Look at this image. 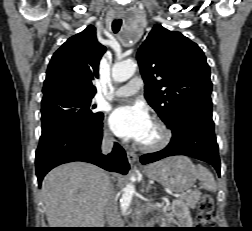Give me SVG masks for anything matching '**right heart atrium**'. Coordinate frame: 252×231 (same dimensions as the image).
<instances>
[{
  "label": "right heart atrium",
  "mask_w": 252,
  "mask_h": 231,
  "mask_svg": "<svg viewBox=\"0 0 252 231\" xmlns=\"http://www.w3.org/2000/svg\"><path fill=\"white\" fill-rule=\"evenodd\" d=\"M104 138L107 140V141H112L113 140V137L111 135V133L109 131H105L104 133Z\"/></svg>",
  "instance_id": "obj_1"
}]
</instances>
